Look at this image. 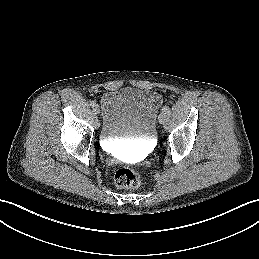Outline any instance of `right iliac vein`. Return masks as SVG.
Here are the masks:
<instances>
[{"instance_id":"obj_1","label":"right iliac vein","mask_w":259,"mask_h":259,"mask_svg":"<svg viewBox=\"0 0 259 259\" xmlns=\"http://www.w3.org/2000/svg\"><path fill=\"white\" fill-rule=\"evenodd\" d=\"M93 111H94L96 114H98V113L100 112V109H99L98 105H95V106L93 107Z\"/></svg>"}]
</instances>
